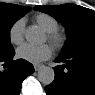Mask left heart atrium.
<instances>
[{
    "label": "left heart atrium",
    "mask_w": 95,
    "mask_h": 95,
    "mask_svg": "<svg viewBox=\"0 0 95 95\" xmlns=\"http://www.w3.org/2000/svg\"><path fill=\"white\" fill-rule=\"evenodd\" d=\"M51 55L52 49L47 44L39 46L24 44L17 49L18 58L34 64L50 58Z\"/></svg>",
    "instance_id": "left-heart-atrium-1"
}]
</instances>
